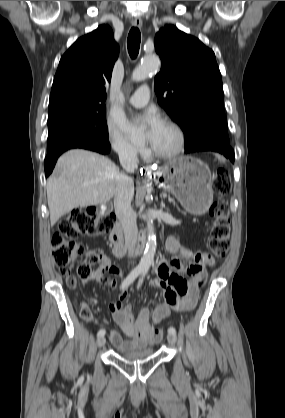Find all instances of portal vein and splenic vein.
<instances>
[{"mask_svg":"<svg viewBox=\"0 0 285 418\" xmlns=\"http://www.w3.org/2000/svg\"><path fill=\"white\" fill-rule=\"evenodd\" d=\"M168 200H169V202H173V200L171 198H169Z\"/></svg>","mask_w":285,"mask_h":418,"instance_id":"18ae733b","label":"portal vein and splenic vein"}]
</instances>
